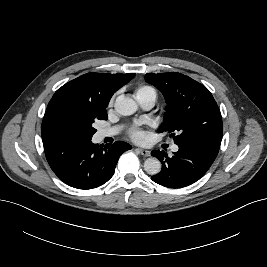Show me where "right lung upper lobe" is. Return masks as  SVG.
Returning <instances> with one entry per match:
<instances>
[{"label": "right lung upper lobe", "instance_id": "obj_1", "mask_svg": "<svg viewBox=\"0 0 267 267\" xmlns=\"http://www.w3.org/2000/svg\"><path fill=\"white\" fill-rule=\"evenodd\" d=\"M135 77L131 74L87 73L60 87L50 100L45 112L41 133H56L55 119L66 106L106 113L112 95Z\"/></svg>", "mask_w": 267, "mask_h": 267}]
</instances>
